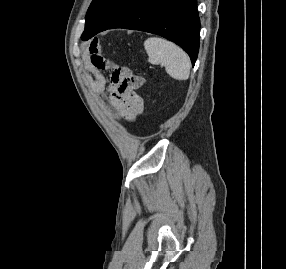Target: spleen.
Returning a JSON list of instances; mask_svg holds the SVG:
<instances>
[{
	"label": "spleen",
	"instance_id": "1",
	"mask_svg": "<svg viewBox=\"0 0 286 269\" xmlns=\"http://www.w3.org/2000/svg\"><path fill=\"white\" fill-rule=\"evenodd\" d=\"M148 61L165 66L166 72L174 79L187 80L190 74L188 55L174 43L165 39L150 37L144 42Z\"/></svg>",
	"mask_w": 286,
	"mask_h": 269
}]
</instances>
